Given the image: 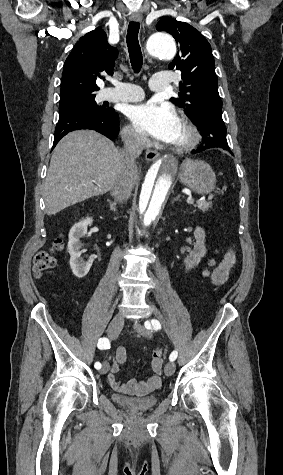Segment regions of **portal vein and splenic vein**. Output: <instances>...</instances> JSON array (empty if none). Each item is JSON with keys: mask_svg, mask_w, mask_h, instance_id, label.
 <instances>
[{"mask_svg": "<svg viewBox=\"0 0 283 475\" xmlns=\"http://www.w3.org/2000/svg\"><path fill=\"white\" fill-rule=\"evenodd\" d=\"M187 204H193V200H192L191 196H189V198H187Z\"/></svg>", "mask_w": 283, "mask_h": 475, "instance_id": "portal-vein-and-splenic-vein-1", "label": "portal vein and splenic vein"}]
</instances>
